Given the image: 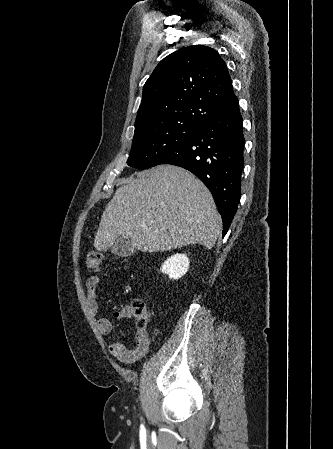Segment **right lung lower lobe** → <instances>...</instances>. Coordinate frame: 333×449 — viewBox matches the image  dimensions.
<instances>
[{
	"label": "right lung lower lobe",
	"mask_w": 333,
	"mask_h": 449,
	"mask_svg": "<svg viewBox=\"0 0 333 449\" xmlns=\"http://www.w3.org/2000/svg\"><path fill=\"white\" fill-rule=\"evenodd\" d=\"M245 138L239 103L202 125L158 162L185 168L211 191L227 233L240 200Z\"/></svg>",
	"instance_id": "obj_1"
}]
</instances>
